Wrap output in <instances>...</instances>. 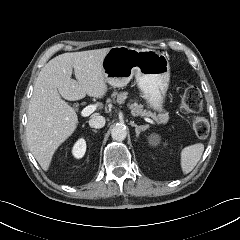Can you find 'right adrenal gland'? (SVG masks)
<instances>
[{"label":"right adrenal gland","instance_id":"1","mask_svg":"<svg viewBox=\"0 0 240 240\" xmlns=\"http://www.w3.org/2000/svg\"><path fill=\"white\" fill-rule=\"evenodd\" d=\"M93 132L97 133V130H92Z\"/></svg>","mask_w":240,"mask_h":240}]
</instances>
